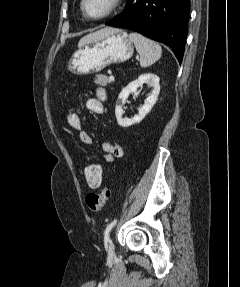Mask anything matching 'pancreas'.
<instances>
[{
    "instance_id": "cf45deb5",
    "label": "pancreas",
    "mask_w": 240,
    "mask_h": 287,
    "mask_svg": "<svg viewBox=\"0 0 240 287\" xmlns=\"http://www.w3.org/2000/svg\"><path fill=\"white\" fill-rule=\"evenodd\" d=\"M94 81H95L96 84H99L101 86H106L107 84L112 82V80H110L105 75H97Z\"/></svg>"
}]
</instances>
